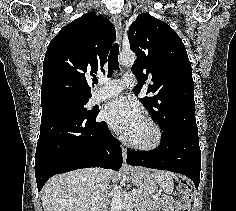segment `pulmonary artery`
I'll return each mask as SVG.
<instances>
[{"label": "pulmonary artery", "mask_w": 236, "mask_h": 211, "mask_svg": "<svg viewBox=\"0 0 236 211\" xmlns=\"http://www.w3.org/2000/svg\"><path fill=\"white\" fill-rule=\"evenodd\" d=\"M137 85L135 75L127 73L121 79L105 81L103 86L92 96V102L97 103L119 94L125 87L132 88Z\"/></svg>", "instance_id": "pulmonary-artery-1"}]
</instances>
